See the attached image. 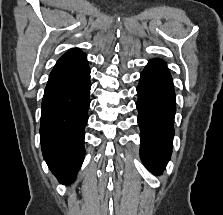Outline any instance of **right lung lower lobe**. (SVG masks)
Returning <instances> with one entry per match:
<instances>
[{
    "label": "right lung lower lobe",
    "mask_w": 223,
    "mask_h": 215,
    "mask_svg": "<svg viewBox=\"0 0 223 215\" xmlns=\"http://www.w3.org/2000/svg\"><path fill=\"white\" fill-rule=\"evenodd\" d=\"M90 88L89 68L74 78L47 84L45 88L41 148L49 168L62 184L75 179L84 160Z\"/></svg>",
    "instance_id": "98d812e1"
}]
</instances>
